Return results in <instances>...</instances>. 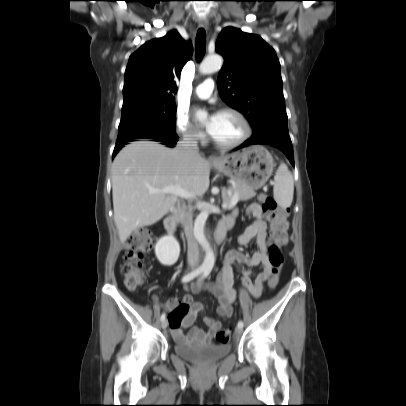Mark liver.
I'll use <instances>...</instances> for the list:
<instances>
[{"label": "liver", "instance_id": "liver-1", "mask_svg": "<svg viewBox=\"0 0 406 406\" xmlns=\"http://www.w3.org/2000/svg\"><path fill=\"white\" fill-rule=\"evenodd\" d=\"M208 162L187 159L177 149L154 141H134L124 147L112 165L114 221L121 243L140 227L162 219L177 202V195L150 190L179 186L203 195L210 184Z\"/></svg>", "mask_w": 406, "mask_h": 406}]
</instances>
